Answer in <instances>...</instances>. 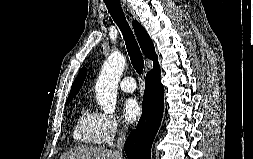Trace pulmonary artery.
I'll return each mask as SVG.
<instances>
[{
	"instance_id": "pulmonary-artery-1",
	"label": "pulmonary artery",
	"mask_w": 253,
	"mask_h": 159,
	"mask_svg": "<svg viewBox=\"0 0 253 159\" xmlns=\"http://www.w3.org/2000/svg\"><path fill=\"white\" fill-rule=\"evenodd\" d=\"M120 89L123 92L131 93L136 89V83L130 76H125L120 81Z\"/></svg>"
}]
</instances>
